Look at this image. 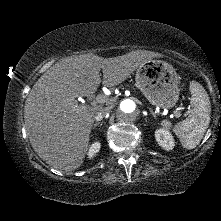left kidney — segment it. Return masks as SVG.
I'll use <instances>...</instances> for the list:
<instances>
[{"label": "left kidney", "mask_w": 221, "mask_h": 221, "mask_svg": "<svg viewBox=\"0 0 221 221\" xmlns=\"http://www.w3.org/2000/svg\"><path fill=\"white\" fill-rule=\"evenodd\" d=\"M155 138L158 144L169 151L172 150L175 146V141L170 131L165 128H160L155 131Z\"/></svg>", "instance_id": "1"}]
</instances>
